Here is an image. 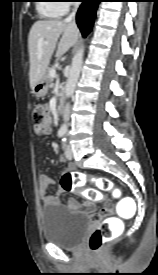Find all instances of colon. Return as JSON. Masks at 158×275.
I'll use <instances>...</instances> for the list:
<instances>
[{
  "mask_svg": "<svg viewBox=\"0 0 158 275\" xmlns=\"http://www.w3.org/2000/svg\"><path fill=\"white\" fill-rule=\"evenodd\" d=\"M33 119L36 131L44 132L50 126L48 109L45 104L35 102L33 105ZM91 182L99 189L109 191L113 189L112 182L105 177H95L84 172H66L60 179V186L63 191L73 192L84 188L86 183ZM118 193V190H115ZM83 193L91 200L101 199V194L96 189H85ZM110 212L109 207H105L98 216L104 217ZM118 235L113 223L105 220L89 238V247L92 251H100L106 243L115 239Z\"/></svg>",
  "mask_w": 158,
  "mask_h": 275,
  "instance_id": "obj_1",
  "label": "colon"
}]
</instances>
